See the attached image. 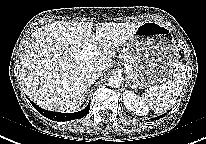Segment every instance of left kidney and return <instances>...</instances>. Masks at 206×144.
Masks as SVG:
<instances>
[{"mask_svg":"<svg viewBox=\"0 0 206 144\" xmlns=\"http://www.w3.org/2000/svg\"><path fill=\"white\" fill-rule=\"evenodd\" d=\"M123 102L127 110L135 112L138 116H146L148 114L149 107L133 91H125L123 93Z\"/></svg>","mask_w":206,"mask_h":144,"instance_id":"1","label":"left kidney"}]
</instances>
